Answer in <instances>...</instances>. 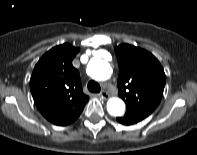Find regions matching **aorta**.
I'll use <instances>...</instances> for the list:
<instances>
[{
  "instance_id": "aorta-1",
  "label": "aorta",
  "mask_w": 197,
  "mask_h": 155,
  "mask_svg": "<svg viewBox=\"0 0 197 155\" xmlns=\"http://www.w3.org/2000/svg\"><path fill=\"white\" fill-rule=\"evenodd\" d=\"M87 73L95 80H107L112 74L110 64L100 58H93L87 66ZM107 111L112 116H122L125 111V104L119 98H111L107 102Z\"/></svg>"
}]
</instances>
